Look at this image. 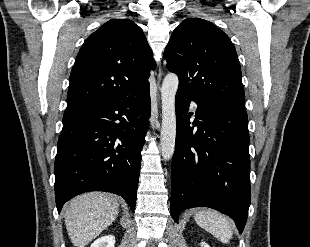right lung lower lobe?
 <instances>
[{"mask_svg":"<svg viewBox=\"0 0 310 247\" xmlns=\"http://www.w3.org/2000/svg\"><path fill=\"white\" fill-rule=\"evenodd\" d=\"M150 113L149 88L65 109L54 165L58 213L88 191L118 194L134 210Z\"/></svg>","mask_w":310,"mask_h":247,"instance_id":"right-lung-lower-lobe-1","label":"right lung lower lobe"}]
</instances>
